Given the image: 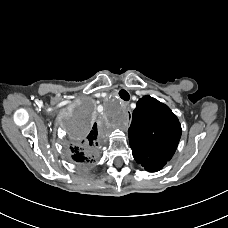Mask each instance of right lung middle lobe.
<instances>
[{
    "label": "right lung middle lobe",
    "mask_w": 228,
    "mask_h": 228,
    "mask_svg": "<svg viewBox=\"0 0 228 228\" xmlns=\"http://www.w3.org/2000/svg\"><path fill=\"white\" fill-rule=\"evenodd\" d=\"M80 118V127L79 129L72 130L71 135L75 140H82L87 134L88 130L92 127L94 122V117L91 112H88L85 107L81 108L78 114ZM96 123H94L93 129H95Z\"/></svg>",
    "instance_id": "1"
}]
</instances>
